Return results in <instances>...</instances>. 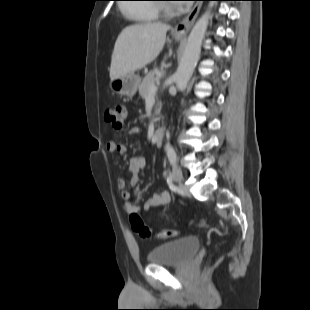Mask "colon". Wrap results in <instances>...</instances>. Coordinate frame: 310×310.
<instances>
[{
    "label": "colon",
    "mask_w": 310,
    "mask_h": 310,
    "mask_svg": "<svg viewBox=\"0 0 310 310\" xmlns=\"http://www.w3.org/2000/svg\"><path fill=\"white\" fill-rule=\"evenodd\" d=\"M125 117L126 107L124 105H117L105 111V120L114 129L122 128ZM130 222L133 230L143 238L156 237L161 239H169L175 237L178 234V232L175 230H161L155 232L151 231L144 225L142 219L137 213H131ZM200 224L203 227L207 226L204 221H201Z\"/></svg>",
    "instance_id": "obj_1"
}]
</instances>
